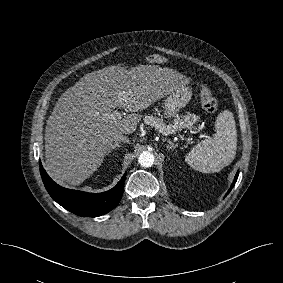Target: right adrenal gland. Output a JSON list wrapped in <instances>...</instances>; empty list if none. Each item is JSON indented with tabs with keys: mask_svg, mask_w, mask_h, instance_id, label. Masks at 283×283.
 I'll list each match as a JSON object with an SVG mask.
<instances>
[{
	"mask_svg": "<svg viewBox=\"0 0 283 283\" xmlns=\"http://www.w3.org/2000/svg\"><path fill=\"white\" fill-rule=\"evenodd\" d=\"M120 142H115L112 147L109 149L108 153H110L112 150H116L120 147Z\"/></svg>",
	"mask_w": 283,
	"mask_h": 283,
	"instance_id": "obj_1",
	"label": "right adrenal gland"
}]
</instances>
